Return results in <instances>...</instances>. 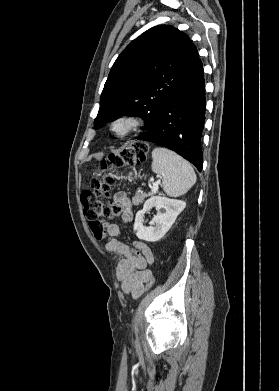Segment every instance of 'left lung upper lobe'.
<instances>
[{"label":"left lung upper lobe","instance_id":"1","mask_svg":"<svg viewBox=\"0 0 279 391\" xmlns=\"http://www.w3.org/2000/svg\"><path fill=\"white\" fill-rule=\"evenodd\" d=\"M199 63L197 48L185 33L170 25L147 30L123 50L111 68L94 127L135 115L149 129Z\"/></svg>","mask_w":279,"mask_h":391}]
</instances>
